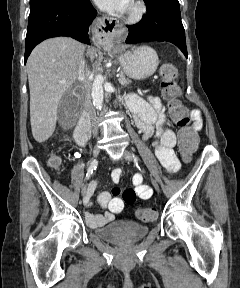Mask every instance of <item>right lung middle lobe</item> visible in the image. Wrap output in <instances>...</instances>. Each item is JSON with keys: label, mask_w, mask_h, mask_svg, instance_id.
<instances>
[{"label": "right lung middle lobe", "mask_w": 240, "mask_h": 288, "mask_svg": "<svg viewBox=\"0 0 240 288\" xmlns=\"http://www.w3.org/2000/svg\"><path fill=\"white\" fill-rule=\"evenodd\" d=\"M53 0H30V12L36 10L39 8L41 5L50 2Z\"/></svg>", "instance_id": "right-lung-middle-lobe-1"}]
</instances>
